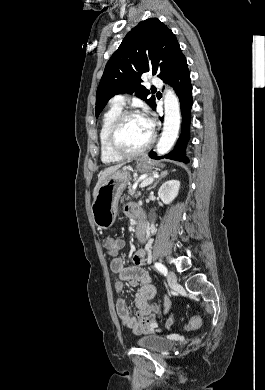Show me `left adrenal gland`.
Masks as SVG:
<instances>
[{"mask_svg": "<svg viewBox=\"0 0 265 390\" xmlns=\"http://www.w3.org/2000/svg\"><path fill=\"white\" fill-rule=\"evenodd\" d=\"M168 175V171H162L161 173H160V177L154 182V184L151 186V187H149L148 188V190H151L152 188H154L157 184H158V182L162 179V178H164V177H166Z\"/></svg>", "mask_w": 265, "mask_h": 390, "instance_id": "obj_1", "label": "left adrenal gland"}]
</instances>
